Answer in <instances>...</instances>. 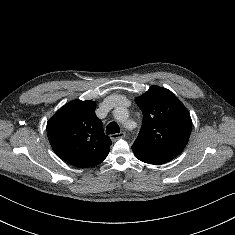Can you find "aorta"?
Masks as SVG:
<instances>
[{"label":"aorta","instance_id":"obj_1","mask_svg":"<svg viewBox=\"0 0 235 235\" xmlns=\"http://www.w3.org/2000/svg\"><path fill=\"white\" fill-rule=\"evenodd\" d=\"M127 114H128L127 109L123 107H119L114 110V117L119 122H125L127 119Z\"/></svg>","mask_w":235,"mask_h":235}]
</instances>
